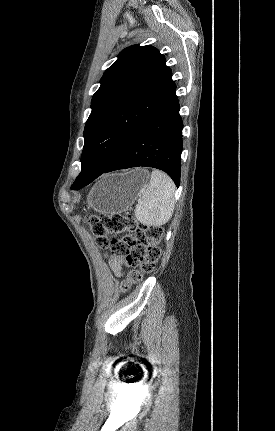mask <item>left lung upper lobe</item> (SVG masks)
<instances>
[{
    "label": "left lung upper lobe",
    "instance_id": "1",
    "mask_svg": "<svg viewBox=\"0 0 275 431\" xmlns=\"http://www.w3.org/2000/svg\"><path fill=\"white\" fill-rule=\"evenodd\" d=\"M117 57L91 101L81 173L96 174L109 167L176 87L165 57L155 47L133 45Z\"/></svg>",
    "mask_w": 275,
    "mask_h": 431
}]
</instances>
